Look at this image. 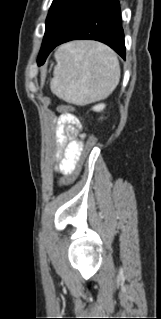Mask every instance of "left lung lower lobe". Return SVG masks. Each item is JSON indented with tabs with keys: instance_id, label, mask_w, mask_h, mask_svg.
Listing matches in <instances>:
<instances>
[{
	"instance_id": "0a47b994",
	"label": "left lung lower lobe",
	"mask_w": 161,
	"mask_h": 319,
	"mask_svg": "<svg viewBox=\"0 0 161 319\" xmlns=\"http://www.w3.org/2000/svg\"><path fill=\"white\" fill-rule=\"evenodd\" d=\"M80 39L97 40L107 44L125 59L124 32L118 0H101L74 26L44 53L45 62L49 53L58 45Z\"/></svg>"
}]
</instances>
